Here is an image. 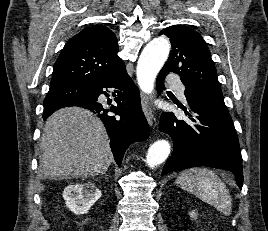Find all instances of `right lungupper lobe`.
Returning a JSON list of instances; mask_svg holds the SVG:
<instances>
[{
    "instance_id": "obj_1",
    "label": "right lung upper lobe",
    "mask_w": 268,
    "mask_h": 231,
    "mask_svg": "<svg viewBox=\"0 0 268 231\" xmlns=\"http://www.w3.org/2000/svg\"><path fill=\"white\" fill-rule=\"evenodd\" d=\"M117 53V38L109 28L102 25L87 27L64 46L54 64L50 85L89 87L124 64ZM65 102L68 101L46 103L44 108Z\"/></svg>"
}]
</instances>
